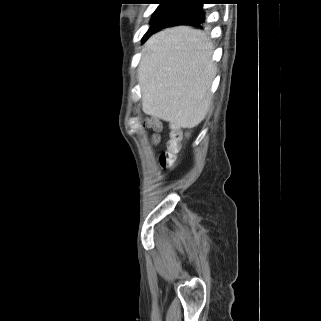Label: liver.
<instances>
[{
    "label": "liver",
    "instance_id": "6515ba94",
    "mask_svg": "<svg viewBox=\"0 0 321 321\" xmlns=\"http://www.w3.org/2000/svg\"><path fill=\"white\" fill-rule=\"evenodd\" d=\"M213 44L197 29L178 26L162 30L146 42L138 67L142 109L177 127H196L211 104L215 77Z\"/></svg>",
    "mask_w": 321,
    "mask_h": 321
}]
</instances>
